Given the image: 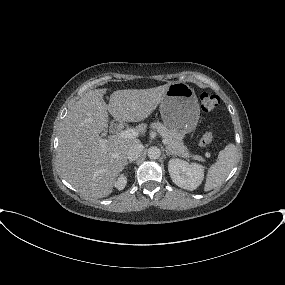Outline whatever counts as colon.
Wrapping results in <instances>:
<instances>
[{"mask_svg": "<svg viewBox=\"0 0 285 285\" xmlns=\"http://www.w3.org/2000/svg\"><path fill=\"white\" fill-rule=\"evenodd\" d=\"M201 109L205 113L214 111L220 104V99L217 95L211 93H202L200 95ZM214 139V132L211 128L206 130L200 137V145L208 146Z\"/></svg>", "mask_w": 285, "mask_h": 285, "instance_id": "5ec220e1", "label": "colon"}]
</instances>
